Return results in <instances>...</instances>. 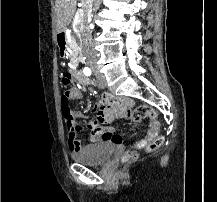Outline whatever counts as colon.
<instances>
[{
	"mask_svg": "<svg viewBox=\"0 0 217 202\" xmlns=\"http://www.w3.org/2000/svg\"><path fill=\"white\" fill-rule=\"evenodd\" d=\"M69 96H70V90L65 89L62 90L60 99H61V105H62V112L64 115L65 122L68 126L69 131H72L75 129V121L72 114V109L69 105ZM154 107H149L148 104H141L140 107H136L134 110V113H130V119L133 123H140L142 118H152V119H158V114H155ZM164 141L163 137H156L153 142L150 144L149 149L153 150L157 148L162 142ZM135 157V154L133 152H128L126 154V157L124 159L133 158Z\"/></svg>",
	"mask_w": 217,
	"mask_h": 202,
	"instance_id": "obj_1",
	"label": "colon"
}]
</instances>
